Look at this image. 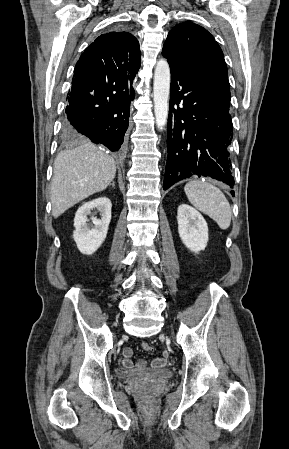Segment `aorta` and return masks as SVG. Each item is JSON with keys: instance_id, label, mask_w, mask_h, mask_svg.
Listing matches in <instances>:
<instances>
[{"instance_id": "aorta-1", "label": "aorta", "mask_w": 289, "mask_h": 449, "mask_svg": "<svg viewBox=\"0 0 289 449\" xmlns=\"http://www.w3.org/2000/svg\"><path fill=\"white\" fill-rule=\"evenodd\" d=\"M153 94L156 125L162 130L168 119L170 94V68L165 59H160L155 67Z\"/></svg>"}]
</instances>
